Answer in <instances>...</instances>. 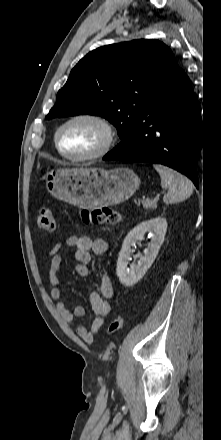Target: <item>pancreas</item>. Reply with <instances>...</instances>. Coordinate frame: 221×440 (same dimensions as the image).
I'll use <instances>...</instances> for the list:
<instances>
[{
  "instance_id": "1",
  "label": "pancreas",
  "mask_w": 221,
  "mask_h": 440,
  "mask_svg": "<svg viewBox=\"0 0 221 440\" xmlns=\"http://www.w3.org/2000/svg\"><path fill=\"white\" fill-rule=\"evenodd\" d=\"M135 204L140 206L142 204L143 208L146 210H154L157 208V202L153 200H146V201H135Z\"/></svg>"
}]
</instances>
